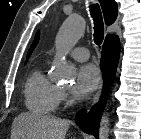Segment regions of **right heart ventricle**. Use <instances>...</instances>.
<instances>
[{
	"label": "right heart ventricle",
	"instance_id": "e07e8e85",
	"mask_svg": "<svg viewBox=\"0 0 141 139\" xmlns=\"http://www.w3.org/2000/svg\"><path fill=\"white\" fill-rule=\"evenodd\" d=\"M60 89L36 68L28 75L24 86V100L27 109L37 114H50L59 104Z\"/></svg>",
	"mask_w": 141,
	"mask_h": 139
}]
</instances>
